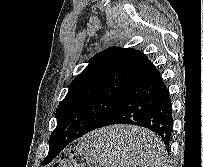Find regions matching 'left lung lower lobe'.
Wrapping results in <instances>:
<instances>
[{"mask_svg":"<svg viewBox=\"0 0 203 167\" xmlns=\"http://www.w3.org/2000/svg\"><path fill=\"white\" fill-rule=\"evenodd\" d=\"M114 124L148 128L158 134L166 147H169L173 128L172 103L168 88L150 60L98 128ZM72 141L68 138L55 141L49 148L48 159L44 164L53 160Z\"/></svg>","mask_w":203,"mask_h":167,"instance_id":"1","label":"left lung lower lobe"}]
</instances>
